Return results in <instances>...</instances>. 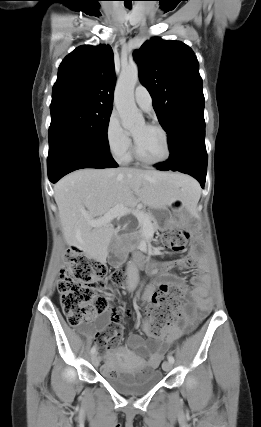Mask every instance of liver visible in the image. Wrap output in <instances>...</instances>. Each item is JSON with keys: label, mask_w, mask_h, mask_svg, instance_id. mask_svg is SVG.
<instances>
[{"label": "liver", "mask_w": 261, "mask_h": 427, "mask_svg": "<svg viewBox=\"0 0 261 427\" xmlns=\"http://www.w3.org/2000/svg\"><path fill=\"white\" fill-rule=\"evenodd\" d=\"M196 182L189 176L130 168L80 169L54 185V198L66 243L89 257L105 262L114 228L92 227L88 221L102 217L116 205L138 203L163 209L175 200L191 204L188 188Z\"/></svg>", "instance_id": "liver-1"}]
</instances>
